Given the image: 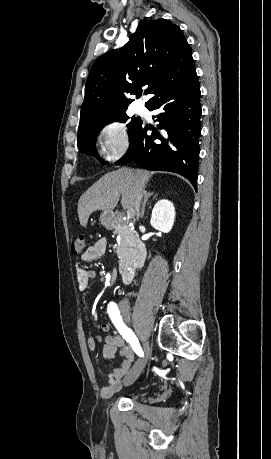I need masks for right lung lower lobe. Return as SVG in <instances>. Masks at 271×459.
Listing matches in <instances>:
<instances>
[{"label": "right lung lower lobe", "mask_w": 271, "mask_h": 459, "mask_svg": "<svg viewBox=\"0 0 271 459\" xmlns=\"http://www.w3.org/2000/svg\"><path fill=\"white\" fill-rule=\"evenodd\" d=\"M200 88L196 71L169 83L146 103L160 110L159 124L147 135L142 124L132 133L129 150L116 164L129 161L148 170L170 171L186 177L197 188L201 132Z\"/></svg>", "instance_id": "98d812e1"}]
</instances>
